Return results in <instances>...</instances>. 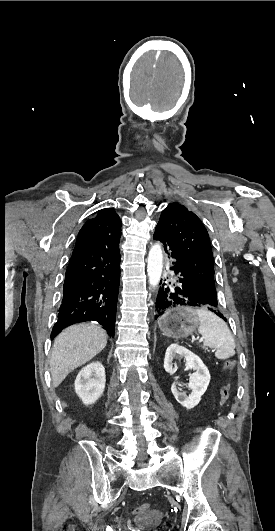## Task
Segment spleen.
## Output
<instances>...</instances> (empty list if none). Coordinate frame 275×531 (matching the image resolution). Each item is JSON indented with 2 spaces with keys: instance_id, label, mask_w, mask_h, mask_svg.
<instances>
[{
  "instance_id": "obj_1",
  "label": "spleen",
  "mask_w": 275,
  "mask_h": 531,
  "mask_svg": "<svg viewBox=\"0 0 275 531\" xmlns=\"http://www.w3.org/2000/svg\"><path fill=\"white\" fill-rule=\"evenodd\" d=\"M192 313L199 317L198 333L202 335L203 349H215L216 359H230L235 355V343L227 323L208 309H194Z\"/></svg>"
}]
</instances>
